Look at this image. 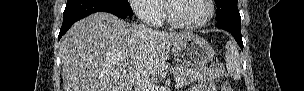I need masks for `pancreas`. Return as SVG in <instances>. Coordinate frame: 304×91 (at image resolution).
I'll list each match as a JSON object with an SVG mask.
<instances>
[{"label": "pancreas", "mask_w": 304, "mask_h": 91, "mask_svg": "<svg viewBox=\"0 0 304 91\" xmlns=\"http://www.w3.org/2000/svg\"><path fill=\"white\" fill-rule=\"evenodd\" d=\"M171 72L180 86H185L193 82L216 81L224 76L223 66L214 64L209 68L190 69L185 66H175Z\"/></svg>", "instance_id": "1"}]
</instances>
